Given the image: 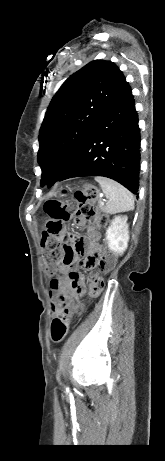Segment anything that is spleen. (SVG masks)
Listing matches in <instances>:
<instances>
[{
    "mask_svg": "<svg viewBox=\"0 0 165 461\" xmlns=\"http://www.w3.org/2000/svg\"><path fill=\"white\" fill-rule=\"evenodd\" d=\"M95 180L100 184L103 193L108 198L104 207L105 212L116 214L134 209L132 193L121 184L105 177H95Z\"/></svg>",
    "mask_w": 165,
    "mask_h": 461,
    "instance_id": "1",
    "label": "spleen"
}]
</instances>
